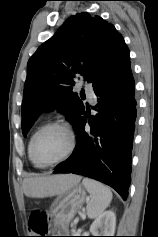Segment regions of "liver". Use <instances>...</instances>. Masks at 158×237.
Segmentation results:
<instances>
[{"label": "liver", "instance_id": "6515ba94", "mask_svg": "<svg viewBox=\"0 0 158 237\" xmlns=\"http://www.w3.org/2000/svg\"><path fill=\"white\" fill-rule=\"evenodd\" d=\"M80 179V176L74 174L36 176L24 179L22 186L26 196L44 198L63 193Z\"/></svg>", "mask_w": 158, "mask_h": 237}]
</instances>
